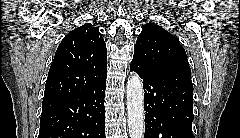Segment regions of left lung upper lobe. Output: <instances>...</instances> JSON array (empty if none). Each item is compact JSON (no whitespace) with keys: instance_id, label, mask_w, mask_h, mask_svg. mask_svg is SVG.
Returning a JSON list of instances; mask_svg holds the SVG:
<instances>
[{"instance_id":"obj_1","label":"left lung upper lobe","mask_w":240,"mask_h":138,"mask_svg":"<svg viewBox=\"0 0 240 138\" xmlns=\"http://www.w3.org/2000/svg\"><path fill=\"white\" fill-rule=\"evenodd\" d=\"M132 61L150 70L182 69L191 72L185 50L178 40L153 23L142 25Z\"/></svg>"}]
</instances>
